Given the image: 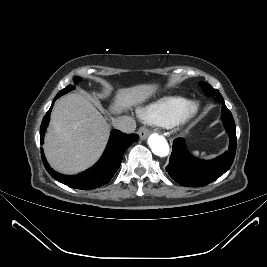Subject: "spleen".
<instances>
[{"mask_svg": "<svg viewBox=\"0 0 267 267\" xmlns=\"http://www.w3.org/2000/svg\"><path fill=\"white\" fill-rule=\"evenodd\" d=\"M193 154H194L195 156H199V155H201V156H205V155H206L205 152H202L201 154H199L198 151H194Z\"/></svg>", "mask_w": 267, "mask_h": 267, "instance_id": "3e777b00", "label": "spleen"}]
</instances>
